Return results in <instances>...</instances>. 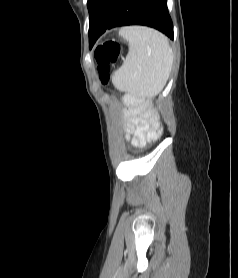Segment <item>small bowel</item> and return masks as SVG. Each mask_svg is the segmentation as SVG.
<instances>
[{
    "label": "small bowel",
    "instance_id": "small-bowel-1",
    "mask_svg": "<svg viewBox=\"0 0 238 278\" xmlns=\"http://www.w3.org/2000/svg\"><path fill=\"white\" fill-rule=\"evenodd\" d=\"M130 106L127 132L132 136V144L144 146L157 136V124L146 113L147 94L138 91L127 98Z\"/></svg>",
    "mask_w": 238,
    "mask_h": 278
}]
</instances>
